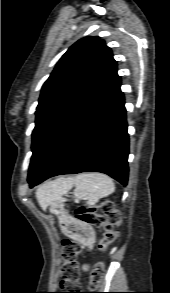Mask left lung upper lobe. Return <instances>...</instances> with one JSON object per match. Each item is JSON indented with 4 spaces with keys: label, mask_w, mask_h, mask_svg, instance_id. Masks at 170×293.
<instances>
[{
    "label": "left lung upper lobe",
    "mask_w": 170,
    "mask_h": 293,
    "mask_svg": "<svg viewBox=\"0 0 170 293\" xmlns=\"http://www.w3.org/2000/svg\"><path fill=\"white\" fill-rule=\"evenodd\" d=\"M119 80L111 49L99 37L82 38L67 50L42 87L28 177L48 167Z\"/></svg>",
    "instance_id": "5c2ea615"
}]
</instances>
